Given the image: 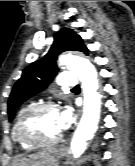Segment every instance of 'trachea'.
<instances>
[{
  "label": "trachea",
  "instance_id": "obj_1",
  "mask_svg": "<svg viewBox=\"0 0 135 166\" xmlns=\"http://www.w3.org/2000/svg\"><path fill=\"white\" fill-rule=\"evenodd\" d=\"M73 89H79V86L77 85V86H75Z\"/></svg>",
  "mask_w": 135,
  "mask_h": 166
}]
</instances>
